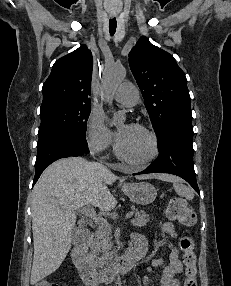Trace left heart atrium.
<instances>
[{"mask_svg": "<svg viewBox=\"0 0 231 286\" xmlns=\"http://www.w3.org/2000/svg\"><path fill=\"white\" fill-rule=\"evenodd\" d=\"M127 127H128V125H127L126 127H124L123 129H121V130L118 131V133H117L118 139L123 136V134L125 133Z\"/></svg>", "mask_w": 231, "mask_h": 286, "instance_id": "obj_1", "label": "left heart atrium"}]
</instances>
